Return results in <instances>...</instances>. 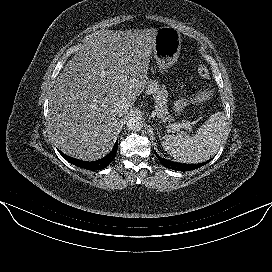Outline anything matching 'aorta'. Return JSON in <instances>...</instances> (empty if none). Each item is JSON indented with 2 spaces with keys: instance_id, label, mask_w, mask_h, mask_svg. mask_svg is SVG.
I'll list each match as a JSON object with an SVG mask.
<instances>
[{
  "instance_id": "aorta-1",
  "label": "aorta",
  "mask_w": 272,
  "mask_h": 272,
  "mask_svg": "<svg viewBox=\"0 0 272 272\" xmlns=\"http://www.w3.org/2000/svg\"><path fill=\"white\" fill-rule=\"evenodd\" d=\"M143 127V121L138 116H132L127 121V129L130 131H139Z\"/></svg>"
}]
</instances>
